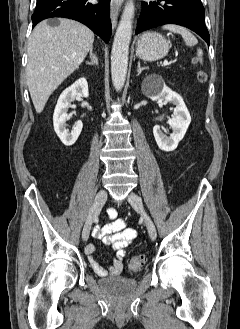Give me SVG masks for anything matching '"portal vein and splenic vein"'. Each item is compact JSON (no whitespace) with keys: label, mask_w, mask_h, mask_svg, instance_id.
<instances>
[{"label":"portal vein and splenic vein","mask_w":240,"mask_h":329,"mask_svg":"<svg viewBox=\"0 0 240 329\" xmlns=\"http://www.w3.org/2000/svg\"><path fill=\"white\" fill-rule=\"evenodd\" d=\"M170 63L168 62V60H164L163 62V66H168Z\"/></svg>","instance_id":"1"}]
</instances>
